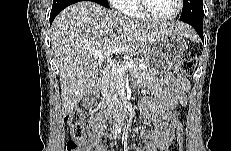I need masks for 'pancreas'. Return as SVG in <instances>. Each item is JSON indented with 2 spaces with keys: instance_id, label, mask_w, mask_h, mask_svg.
<instances>
[{
  "instance_id": "obj_1",
  "label": "pancreas",
  "mask_w": 231,
  "mask_h": 151,
  "mask_svg": "<svg viewBox=\"0 0 231 151\" xmlns=\"http://www.w3.org/2000/svg\"><path fill=\"white\" fill-rule=\"evenodd\" d=\"M135 61L136 65L130 69L131 75L138 79L149 76L150 71L145 66L144 60L137 58ZM123 85L122 76L115 74L111 70L106 72L101 83L102 103L104 105L117 103L119 101V89L122 88Z\"/></svg>"
}]
</instances>
